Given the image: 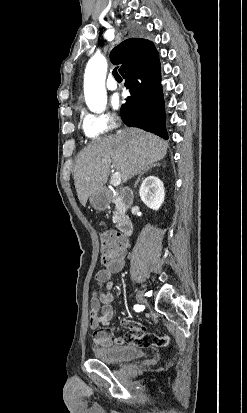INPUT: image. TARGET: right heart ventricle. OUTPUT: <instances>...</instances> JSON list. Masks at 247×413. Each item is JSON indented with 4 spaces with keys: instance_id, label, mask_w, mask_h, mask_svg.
Returning a JSON list of instances; mask_svg holds the SVG:
<instances>
[{
    "instance_id": "obj_1",
    "label": "right heart ventricle",
    "mask_w": 247,
    "mask_h": 413,
    "mask_svg": "<svg viewBox=\"0 0 247 413\" xmlns=\"http://www.w3.org/2000/svg\"><path fill=\"white\" fill-rule=\"evenodd\" d=\"M85 132H86L87 136H89V133L87 132V130H86V129H85Z\"/></svg>"
}]
</instances>
